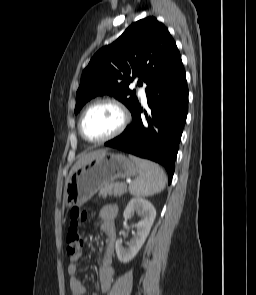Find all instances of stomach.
I'll return each mask as SVG.
<instances>
[{
  "instance_id": "1",
  "label": "stomach",
  "mask_w": 256,
  "mask_h": 295,
  "mask_svg": "<svg viewBox=\"0 0 256 295\" xmlns=\"http://www.w3.org/2000/svg\"><path fill=\"white\" fill-rule=\"evenodd\" d=\"M138 172V166L124 155L104 152L72 174L66 183L64 203L68 208L81 207L103 186Z\"/></svg>"
}]
</instances>
